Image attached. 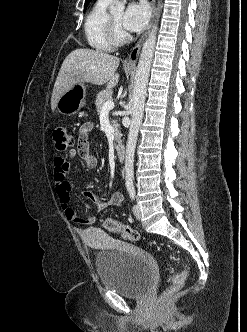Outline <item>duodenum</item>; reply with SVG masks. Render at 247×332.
<instances>
[{"instance_id": "1", "label": "duodenum", "mask_w": 247, "mask_h": 332, "mask_svg": "<svg viewBox=\"0 0 247 332\" xmlns=\"http://www.w3.org/2000/svg\"><path fill=\"white\" fill-rule=\"evenodd\" d=\"M116 155H117V158L120 161H123L125 159L126 149H125V146L123 144H118L116 146Z\"/></svg>"}]
</instances>
